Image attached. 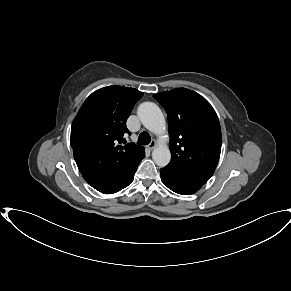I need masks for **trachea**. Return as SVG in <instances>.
Returning a JSON list of instances; mask_svg holds the SVG:
<instances>
[{
	"label": "trachea",
	"instance_id": "1",
	"mask_svg": "<svg viewBox=\"0 0 291 291\" xmlns=\"http://www.w3.org/2000/svg\"><path fill=\"white\" fill-rule=\"evenodd\" d=\"M150 141H151V137L149 133L147 132L140 133L138 137V144L147 145L150 143Z\"/></svg>",
	"mask_w": 291,
	"mask_h": 291
}]
</instances>
